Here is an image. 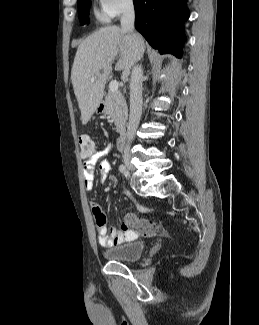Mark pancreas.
Returning <instances> with one entry per match:
<instances>
[{
  "label": "pancreas",
  "instance_id": "cf45deb5",
  "mask_svg": "<svg viewBox=\"0 0 259 325\" xmlns=\"http://www.w3.org/2000/svg\"><path fill=\"white\" fill-rule=\"evenodd\" d=\"M106 114L110 116L116 126V132L124 133L128 118V108L123 95L116 91H109L105 98Z\"/></svg>",
  "mask_w": 259,
  "mask_h": 325
}]
</instances>
